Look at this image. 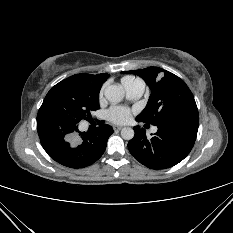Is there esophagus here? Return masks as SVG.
I'll use <instances>...</instances> for the list:
<instances>
[{
    "mask_svg": "<svg viewBox=\"0 0 233 233\" xmlns=\"http://www.w3.org/2000/svg\"><path fill=\"white\" fill-rule=\"evenodd\" d=\"M122 128H123L122 126H113L114 131H119Z\"/></svg>",
    "mask_w": 233,
    "mask_h": 233,
    "instance_id": "34e87169",
    "label": "esophagus"
}]
</instances>
